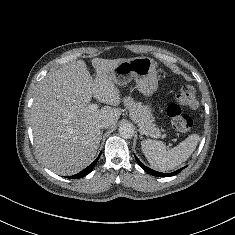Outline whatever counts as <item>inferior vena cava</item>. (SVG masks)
I'll list each match as a JSON object with an SVG mask.
<instances>
[{"label":"inferior vena cava","instance_id":"inferior-vena-cava-1","mask_svg":"<svg viewBox=\"0 0 235 235\" xmlns=\"http://www.w3.org/2000/svg\"><path fill=\"white\" fill-rule=\"evenodd\" d=\"M99 127L102 128V129L103 128H108L109 127V122L103 121V122L100 123Z\"/></svg>","mask_w":235,"mask_h":235}]
</instances>
